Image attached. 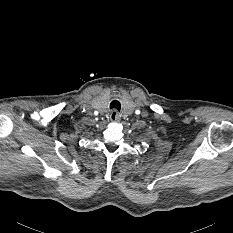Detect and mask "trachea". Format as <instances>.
Masks as SVG:
<instances>
[{"instance_id": "trachea-1", "label": "trachea", "mask_w": 233, "mask_h": 233, "mask_svg": "<svg viewBox=\"0 0 233 233\" xmlns=\"http://www.w3.org/2000/svg\"><path fill=\"white\" fill-rule=\"evenodd\" d=\"M110 109H116L118 111H120L121 109V104L118 100H113L111 103H110Z\"/></svg>"}]
</instances>
